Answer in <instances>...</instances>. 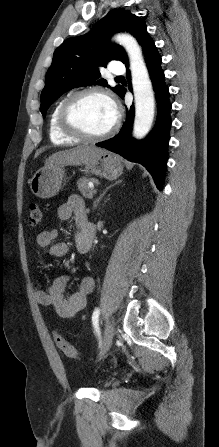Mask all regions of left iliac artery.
<instances>
[{"label":"left iliac artery","instance_id":"44dca946","mask_svg":"<svg viewBox=\"0 0 219 447\" xmlns=\"http://www.w3.org/2000/svg\"><path fill=\"white\" fill-rule=\"evenodd\" d=\"M99 315H100V309L96 308L92 315V322H93L95 331L97 332L98 336L100 337V329H99V324H98Z\"/></svg>","mask_w":219,"mask_h":447}]
</instances>
